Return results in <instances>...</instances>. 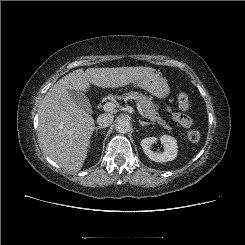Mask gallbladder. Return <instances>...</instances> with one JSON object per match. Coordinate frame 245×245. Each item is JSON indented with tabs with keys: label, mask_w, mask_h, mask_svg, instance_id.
<instances>
[{
	"label": "gallbladder",
	"mask_w": 245,
	"mask_h": 245,
	"mask_svg": "<svg viewBox=\"0 0 245 245\" xmlns=\"http://www.w3.org/2000/svg\"><path fill=\"white\" fill-rule=\"evenodd\" d=\"M68 94L71 99L80 107L90 111L91 104L88 97L80 90H68Z\"/></svg>",
	"instance_id": "1"
}]
</instances>
